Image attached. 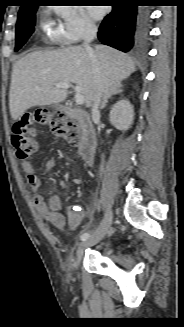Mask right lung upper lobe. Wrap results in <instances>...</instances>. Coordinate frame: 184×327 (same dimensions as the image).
<instances>
[{
	"mask_svg": "<svg viewBox=\"0 0 184 327\" xmlns=\"http://www.w3.org/2000/svg\"><path fill=\"white\" fill-rule=\"evenodd\" d=\"M22 3H23V5H21L19 12L29 9L31 7H35V5L32 4V3H34V0H22Z\"/></svg>",
	"mask_w": 184,
	"mask_h": 327,
	"instance_id": "1",
	"label": "right lung upper lobe"
}]
</instances>
